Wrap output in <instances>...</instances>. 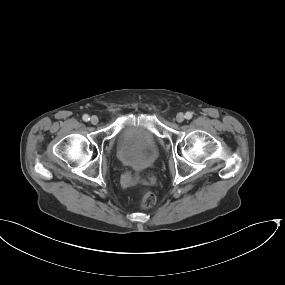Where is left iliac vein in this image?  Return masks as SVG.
<instances>
[{
    "label": "left iliac vein",
    "mask_w": 285,
    "mask_h": 285,
    "mask_svg": "<svg viewBox=\"0 0 285 285\" xmlns=\"http://www.w3.org/2000/svg\"><path fill=\"white\" fill-rule=\"evenodd\" d=\"M184 119H185V116H184L183 113H178V114L176 115V121H177V122L181 123V122L184 121Z\"/></svg>",
    "instance_id": "1"
}]
</instances>
